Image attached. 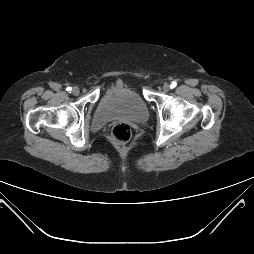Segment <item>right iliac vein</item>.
Segmentation results:
<instances>
[{
  "mask_svg": "<svg viewBox=\"0 0 254 254\" xmlns=\"http://www.w3.org/2000/svg\"><path fill=\"white\" fill-rule=\"evenodd\" d=\"M72 93L74 94V95H79L80 94V89H79V87H77V86H75L74 88H73V90H72Z\"/></svg>",
  "mask_w": 254,
  "mask_h": 254,
  "instance_id": "63e3f726",
  "label": "right iliac vein"
}]
</instances>
